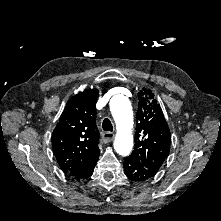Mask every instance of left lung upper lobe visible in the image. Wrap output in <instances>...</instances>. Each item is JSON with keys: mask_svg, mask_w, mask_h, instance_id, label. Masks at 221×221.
I'll use <instances>...</instances> for the list:
<instances>
[{"mask_svg": "<svg viewBox=\"0 0 221 221\" xmlns=\"http://www.w3.org/2000/svg\"><path fill=\"white\" fill-rule=\"evenodd\" d=\"M138 99L135 148L130 157L156 174L170 151L171 134L152 91L144 88Z\"/></svg>", "mask_w": 221, "mask_h": 221, "instance_id": "5c2ea615", "label": "left lung upper lobe"}]
</instances>
